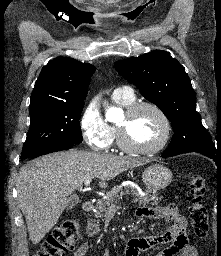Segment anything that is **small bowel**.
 Instances as JSON below:
<instances>
[{
	"mask_svg": "<svg viewBox=\"0 0 221 256\" xmlns=\"http://www.w3.org/2000/svg\"><path fill=\"white\" fill-rule=\"evenodd\" d=\"M136 214L142 218L163 219L171 222L172 226L156 235L130 239L125 256H139L143 251L164 244L168 246L155 256H197L196 249L189 243L186 231L187 221L174 204L154 208L141 207L137 209ZM89 249L90 244L85 242L78 247L74 256H85Z\"/></svg>",
	"mask_w": 221,
	"mask_h": 256,
	"instance_id": "small-bowel-1",
	"label": "small bowel"
}]
</instances>
